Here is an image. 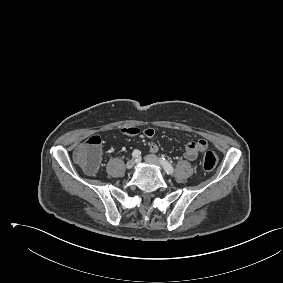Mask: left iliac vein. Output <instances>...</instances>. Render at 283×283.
I'll return each mask as SVG.
<instances>
[{
  "instance_id": "1",
  "label": "left iliac vein",
  "mask_w": 283,
  "mask_h": 283,
  "mask_svg": "<svg viewBox=\"0 0 283 283\" xmlns=\"http://www.w3.org/2000/svg\"><path fill=\"white\" fill-rule=\"evenodd\" d=\"M145 161L146 162H148V163H150V164H154V165H156V166H158V167H161V163H160V161L158 160V158L156 157V156H154V155H147V156H145Z\"/></svg>"
}]
</instances>
